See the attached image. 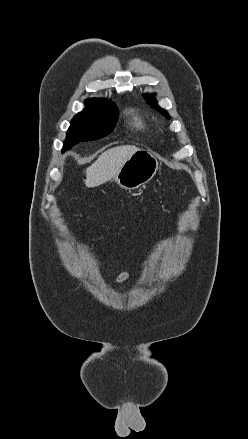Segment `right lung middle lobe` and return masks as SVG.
<instances>
[{
	"label": "right lung middle lobe",
	"instance_id": "1",
	"mask_svg": "<svg viewBox=\"0 0 248 439\" xmlns=\"http://www.w3.org/2000/svg\"><path fill=\"white\" fill-rule=\"evenodd\" d=\"M117 119V110L86 107L72 119L63 151L79 142L97 140L108 135L113 131Z\"/></svg>",
	"mask_w": 248,
	"mask_h": 439
}]
</instances>
